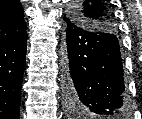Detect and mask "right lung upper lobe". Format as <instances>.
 Masks as SVG:
<instances>
[{
  "mask_svg": "<svg viewBox=\"0 0 142 119\" xmlns=\"http://www.w3.org/2000/svg\"><path fill=\"white\" fill-rule=\"evenodd\" d=\"M26 29L19 0H0V43L17 37Z\"/></svg>",
  "mask_w": 142,
  "mask_h": 119,
  "instance_id": "cb5924a9",
  "label": "right lung upper lobe"
}]
</instances>
